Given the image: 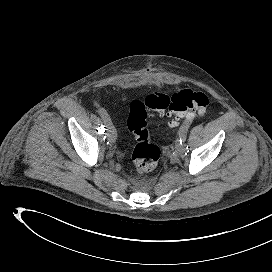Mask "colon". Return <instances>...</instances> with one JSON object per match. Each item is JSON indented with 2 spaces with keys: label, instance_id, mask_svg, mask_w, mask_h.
<instances>
[{
  "label": "colon",
  "instance_id": "5ec220e1",
  "mask_svg": "<svg viewBox=\"0 0 272 272\" xmlns=\"http://www.w3.org/2000/svg\"><path fill=\"white\" fill-rule=\"evenodd\" d=\"M208 105L205 93L188 88L172 95L152 93L144 100H133L129 105L127 124L136 139L132 152L136 170L141 174L153 171L160 157V149L151 142L147 128L152 112H168L177 118L192 117L195 113L204 114Z\"/></svg>",
  "mask_w": 272,
  "mask_h": 272
}]
</instances>
